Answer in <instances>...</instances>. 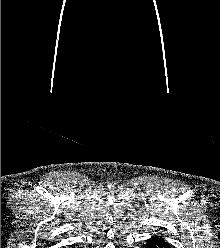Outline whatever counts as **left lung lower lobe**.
Here are the masks:
<instances>
[{"mask_svg": "<svg viewBox=\"0 0 220 248\" xmlns=\"http://www.w3.org/2000/svg\"><path fill=\"white\" fill-rule=\"evenodd\" d=\"M145 248H170V245L163 238L154 236L147 241Z\"/></svg>", "mask_w": 220, "mask_h": 248, "instance_id": "obj_1", "label": "left lung lower lobe"}]
</instances>
